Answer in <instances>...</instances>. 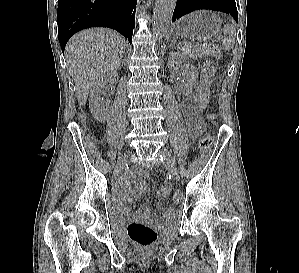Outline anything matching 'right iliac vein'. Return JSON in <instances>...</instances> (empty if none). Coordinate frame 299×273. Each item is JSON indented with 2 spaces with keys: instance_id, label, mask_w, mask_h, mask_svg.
<instances>
[{
  "instance_id": "63e3f726",
  "label": "right iliac vein",
  "mask_w": 299,
  "mask_h": 273,
  "mask_svg": "<svg viewBox=\"0 0 299 273\" xmlns=\"http://www.w3.org/2000/svg\"><path fill=\"white\" fill-rule=\"evenodd\" d=\"M129 155H130V151H126V152L119 158V160H118V162H117V165H116V168H115V172H114L115 176H118V175L121 174V172H122V170H123V168H124V166H125V164H126V161H127L128 157H129Z\"/></svg>"
}]
</instances>
